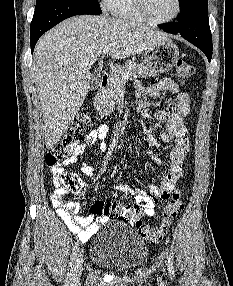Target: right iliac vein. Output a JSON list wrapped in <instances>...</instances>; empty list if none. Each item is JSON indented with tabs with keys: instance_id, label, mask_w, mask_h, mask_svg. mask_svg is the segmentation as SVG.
I'll use <instances>...</instances> for the list:
<instances>
[{
	"instance_id": "1",
	"label": "right iliac vein",
	"mask_w": 233,
	"mask_h": 286,
	"mask_svg": "<svg viewBox=\"0 0 233 286\" xmlns=\"http://www.w3.org/2000/svg\"><path fill=\"white\" fill-rule=\"evenodd\" d=\"M82 263H83V253L82 251L76 257L75 265L72 273V281L73 283H77L80 280L82 273Z\"/></svg>"
}]
</instances>
